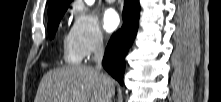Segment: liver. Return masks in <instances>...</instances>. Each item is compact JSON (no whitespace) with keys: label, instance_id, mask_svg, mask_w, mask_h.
Segmentation results:
<instances>
[{"label":"liver","instance_id":"1","mask_svg":"<svg viewBox=\"0 0 221 102\" xmlns=\"http://www.w3.org/2000/svg\"><path fill=\"white\" fill-rule=\"evenodd\" d=\"M113 80L91 66H67L47 72L35 102H111Z\"/></svg>","mask_w":221,"mask_h":102}]
</instances>
